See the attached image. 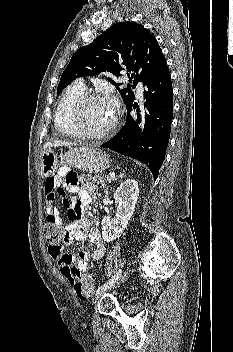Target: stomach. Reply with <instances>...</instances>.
Instances as JSON below:
<instances>
[{
    "label": "stomach",
    "instance_id": "stomach-1",
    "mask_svg": "<svg viewBox=\"0 0 233 352\" xmlns=\"http://www.w3.org/2000/svg\"><path fill=\"white\" fill-rule=\"evenodd\" d=\"M62 159L70 167L82 169L89 173H99L110 165V157L96 147H79L69 150ZM58 156L51 148L43 151L41 155L42 177H48L55 173L59 167Z\"/></svg>",
    "mask_w": 233,
    "mask_h": 352
}]
</instances>
